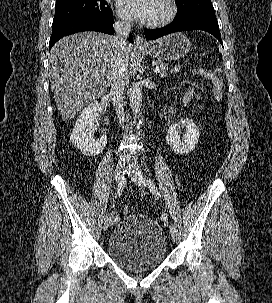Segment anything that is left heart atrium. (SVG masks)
<instances>
[{"label": "left heart atrium", "instance_id": "39dd6f15", "mask_svg": "<svg viewBox=\"0 0 272 303\" xmlns=\"http://www.w3.org/2000/svg\"><path fill=\"white\" fill-rule=\"evenodd\" d=\"M157 0H123V11L140 21H150L156 11Z\"/></svg>", "mask_w": 272, "mask_h": 303}]
</instances>
